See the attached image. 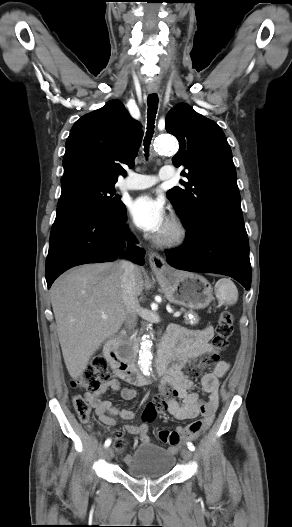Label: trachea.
<instances>
[{"label": "trachea", "mask_w": 292, "mask_h": 527, "mask_svg": "<svg viewBox=\"0 0 292 527\" xmlns=\"http://www.w3.org/2000/svg\"><path fill=\"white\" fill-rule=\"evenodd\" d=\"M158 96L154 94H150L147 98V105H148V111H147V131L146 136L144 139V146H145V152L148 153L149 145L151 142V139L154 134V124H155V118L157 114L158 109Z\"/></svg>", "instance_id": "trachea-1"}]
</instances>
